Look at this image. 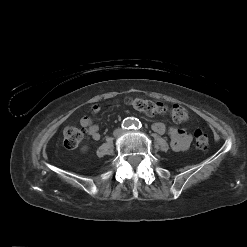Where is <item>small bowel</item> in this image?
<instances>
[{"label": "small bowel", "mask_w": 247, "mask_h": 247, "mask_svg": "<svg viewBox=\"0 0 247 247\" xmlns=\"http://www.w3.org/2000/svg\"><path fill=\"white\" fill-rule=\"evenodd\" d=\"M100 111L99 105H93L89 109L91 115L97 114ZM80 125L86 130L87 134L94 140L100 139L99 127L95 124L90 116H84L80 119ZM154 132L158 134L168 133L170 137L171 148L174 151H184L188 149L192 141L191 134L185 129H180L175 126L166 127L161 122H155L152 125Z\"/></svg>", "instance_id": "1"}]
</instances>
